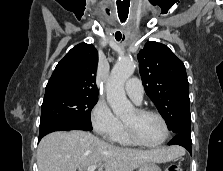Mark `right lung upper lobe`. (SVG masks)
Here are the masks:
<instances>
[{"label":"right lung upper lobe","mask_w":223,"mask_h":171,"mask_svg":"<svg viewBox=\"0 0 223 171\" xmlns=\"http://www.w3.org/2000/svg\"><path fill=\"white\" fill-rule=\"evenodd\" d=\"M98 52L92 44L73 47L56 66L45 89L44 98L61 94L98 96L95 83Z\"/></svg>","instance_id":"1"}]
</instances>
